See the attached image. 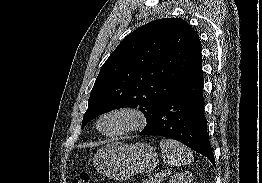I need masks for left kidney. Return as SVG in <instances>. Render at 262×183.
<instances>
[{"mask_svg": "<svg viewBox=\"0 0 262 183\" xmlns=\"http://www.w3.org/2000/svg\"><path fill=\"white\" fill-rule=\"evenodd\" d=\"M168 183H193V174L189 171L172 176Z\"/></svg>", "mask_w": 262, "mask_h": 183, "instance_id": "1", "label": "left kidney"}]
</instances>
